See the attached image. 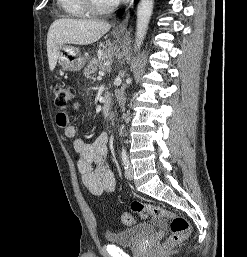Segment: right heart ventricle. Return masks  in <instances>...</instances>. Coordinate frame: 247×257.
I'll list each match as a JSON object with an SVG mask.
<instances>
[{
    "mask_svg": "<svg viewBox=\"0 0 247 257\" xmlns=\"http://www.w3.org/2000/svg\"><path fill=\"white\" fill-rule=\"evenodd\" d=\"M57 2L65 16L69 18H83L89 14L82 0H57Z\"/></svg>",
    "mask_w": 247,
    "mask_h": 257,
    "instance_id": "right-heart-ventricle-1",
    "label": "right heart ventricle"
}]
</instances>
